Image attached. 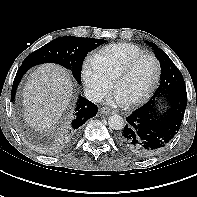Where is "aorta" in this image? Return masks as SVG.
I'll list each match as a JSON object with an SVG mask.
<instances>
[{
	"instance_id": "obj_1",
	"label": "aorta",
	"mask_w": 197,
	"mask_h": 197,
	"mask_svg": "<svg viewBox=\"0 0 197 197\" xmlns=\"http://www.w3.org/2000/svg\"><path fill=\"white\" fill-rule=\"evenodd\" d=\"M109 127L113 130H121L124 127V119L117 114H114L108 119Z\"/></svg>"
}]
</instances>
